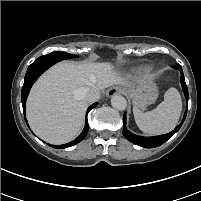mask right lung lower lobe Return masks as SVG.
Masks as SVG:
<instances>
[{
    "mask_svg": "<svg viewBox=\"0 0 201 201\" xmlns=\"http://www.w3.org/2000/svg\"><path fill=\"white\" fill-rule=\"evenodd\" d=\"M61 61L60 58H55L52 56H41L38 59H36L27 69L26 75H25V80H24V85L22 88V105H23V111H25V102H26V98L28 96L29 90L31 89L32 85L34 84V82L37 80V78L45 71L47 70L49 67H51L53 64L57 63ZM97 105V103H94L93 105H91L88 110L87 113L94 108ZM26 121V119H25ZM27 122V121H26ZM88 132V121L86 118L85 121V127L82 131V133L72 142H69L67 144H63L60 146H54L51 145L54 148H66V147H70L73 146L77 143H79L80 141H82L85 136L87 135Z\"/></svg>",
    "mask_w": 201,
    "mask_h": 201,
    "instance_id": "obj_1",
    "label": "right lung lower lobe"
}]
</instances>
